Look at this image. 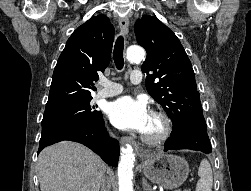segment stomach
I'll use <instances>...</instances> for the list:
<instances>
[{
  "label": "stomach",
  "instance_id": "obj_1",
  "mask_svg": "<svg viewBox=\"0 0 251 191\" xmlns=\"http://www.w3.org/2000/svg\"><path fill=\"white\" fill-rule=\"evenodd\" d=\"M144 159L145 161L141 163L144 175L153 183H160L166 189L179 187L188 177L189 163L184 157L161 151L156 155H144Z\"/></svg>",
  "mask_w": 251,
  "mask_h": 191
}]
</instances>
